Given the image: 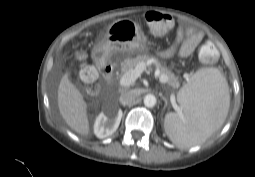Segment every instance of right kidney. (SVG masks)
<instances>
[{
    "label": "right kidney",
    "instance_id": "right-kidney-1",
    "mask_svg": "<svg viewBox=\"0 0 255 177\" xmlns=\"http://www.w3.org/2000/svg\"><path fill=\"white\" fill-rule=\"evenodd\" d=\"M122 115L121 109L109 115H105L103 112L100 113L94 123L95 135L100 139L112 135L119 127Z\"/></svg>",
    "mask_w": 255,
    "mask_h": 177
}]
</instances>
